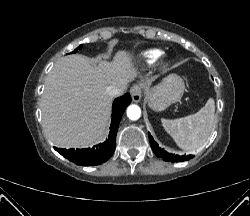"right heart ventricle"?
Here are the masks:
<instances>
[{
    "label": "right heart ventricle",
    "mask_w": 250,
    "mask_h": 216,
    "mask_svg": "<svg viewBox=\"0 0 250 216\" xmlns=\"http://www.w3.org/2000/svg\"><path fill=\"white\" fill-rule=\"evenodd\" d=\"M162 55L163 51L160 49H149L141 53L140 59L144 65L150 66L156 63Z\"/></svg>",
    "instance_id": "1"
}]
</instances>
